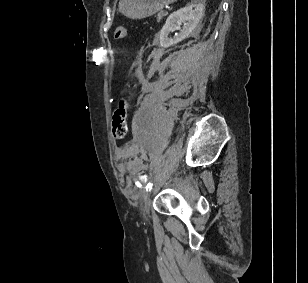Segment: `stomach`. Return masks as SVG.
Segmentation results:
<instances>
[{
    "mask_svg": "<svg viewBox=\"0 0 308 283\" xmlns=\"http://www.w3.org/2000/svg\"><path fill=\"white\" fill-rule=\"evenodd\" d=\"M175 0H120L119 11L131 19H143L154 15Z\"/></svg>",
    "mask_w": 308,
    "mask_h": 283,
    "instance_id": "obj_1",
    "label": "stomach"
}]
</instances>
